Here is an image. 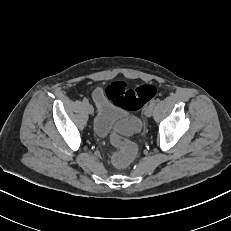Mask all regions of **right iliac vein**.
I'll use <instances>...</instances> for the list:
<instances>
[{"label":"right iliac vein","mask_w":231,"mask_h":231,"mask_svg":"<svg viewBox=\"0 0 231 231\" xmlns=\"http://www.w3.org/2000/svg\"><path fill=\"white\" fill-rule=\"evenodd\" d=\"M86 109L88 111L89 114H93L94 113V108L91 104L87 103L86 104Z\"/></svg>","instance_id":"right-iliac-vein-1"}]
</instances>
